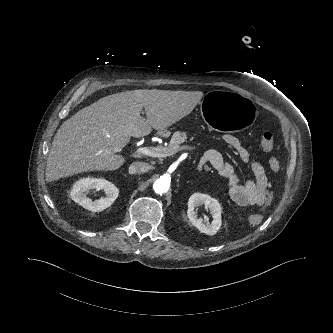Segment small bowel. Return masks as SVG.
<instances>
[{
  "instance_id": "obj_1",
  "label": "small bowel",
  "mask_w": 333,
  "mask_h": 333,
  "mask_svg": "<svg viewBox=\"0 0 333 333\" xmlns=\"http://www.w3.org/2000/svg\"><path fill=\"white\" fill-rule=\"evenodd\" d=\"M222 140L236 152L243 163L250 166L253 178L242 182L234 166L228 163L217 150H210L202 157L199 164L201 169L211 165L226 180L232 199L239 205H264L269 196V177L264 167L251 157L248 149L234 135L223 134ZM269 167L273 174L278 173L280 169L278 160L274 157L271 158Z\"/></svg>"
}]
</instances>
